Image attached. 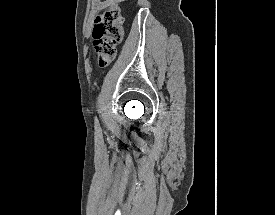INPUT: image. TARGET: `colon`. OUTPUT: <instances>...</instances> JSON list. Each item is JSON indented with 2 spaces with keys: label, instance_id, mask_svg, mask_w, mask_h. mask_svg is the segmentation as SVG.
I'll list each match as a JSON object with an SVG mask.
<instances>
[{
  "label": "colon",
  "instance_id": "5ec220e1",
  "mask_svg": "<svg viewBox=\"0 0 275 215\" xmlns=\"http://www.w3.org/2000/svg\"><path fill=\"white\" fill-rule=\"evenodd\" d=\"M124 17L117 0H111L102 14L98 16L92 35L98 62L109 65L117 54L123 40Z\"/></svg>",
  "mask_w": 275,
  "mask_h": 215
}]
</instances>
